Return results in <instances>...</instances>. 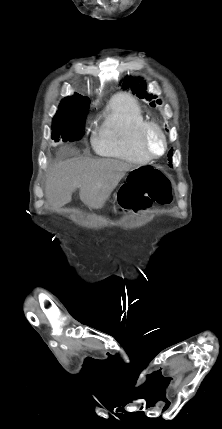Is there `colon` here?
<instances>
[{"instance_id": "obj_1", "label": "colon", "mask_w": 222, "mask_h": 429, "mask_svg": "<svg viewBox=\"0 0 222 429\" xmlns=\"http://www.w3.org/2000/svg\"><path fill=\"white\" fill-rule=\"evenodd\" d=\"M173 201L169 178L153 165H140L133 169L119 191V205L123 210H141L152 203L161 205Z\"/></svg>"}]
</instances>
